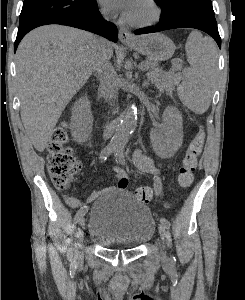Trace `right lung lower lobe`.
I'll return each instance as SVG.
<instances>
[{
  "label": "right lung lower lobe",
  "mask_w": 245,
  "mask_h": 300,
  "mask_svg": "<svg viewBox=\"0 0 245 300\" xmlns=\"http://www.w3.org/2000/svg\"><path fill=\"white\" fill-rule=\"evenodd\" d=\"M48 24H61L72 26L75 28L87 30L95 34L101 35L113 42L117 41V27L106 21L100 14L98 7L93 9L86 15H66L61 17H56L48 21L25 27L18 30L16 41L14 43V51H16L17 46L21 39L32 29Z\"/></svg>",
  "instance_id": "obj_1"
}]
</instances>
